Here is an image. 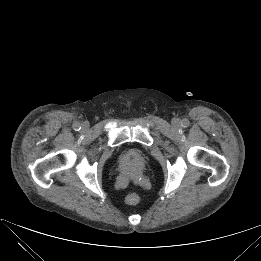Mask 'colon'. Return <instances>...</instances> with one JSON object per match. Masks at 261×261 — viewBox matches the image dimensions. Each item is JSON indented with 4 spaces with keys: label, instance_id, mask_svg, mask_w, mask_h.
I'll return each mask as SVG.
<instances>
[{
    "label": "colon",
    "instance_id": "5ec220e1",
    "mask_svg": "<svg viewBox=\"0 0 261 261\" xmlns=\"http://www.w3.org/2000/svg\"><path fill=\"white\" fill-rule=\"evenodd\" d=\"M140 200V197L137 193L131 192L125 197V203L128 205H136Z\"/></svg>",
    "mask_w": 261,
    "mask_h": 261
}]
</instances>
